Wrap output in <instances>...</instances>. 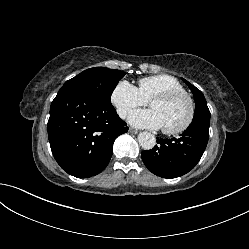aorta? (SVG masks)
<instances>
[{"label":"aorta","mask_w":249,"mask_h":249,"mask_svg":"<svg viewBox=\"0 0 249 249\" xmlns=\"http://www.w3.org/2000/svg\"><path fill=\"white\" fill-rule=\"evenodd\" d=\"M138 142L145 150H150L156 145V138L150 132H141L138 135Z\"/></svg>","instance_id":"762f6f07"}]
</instances>
